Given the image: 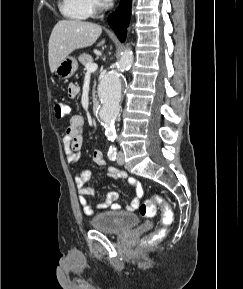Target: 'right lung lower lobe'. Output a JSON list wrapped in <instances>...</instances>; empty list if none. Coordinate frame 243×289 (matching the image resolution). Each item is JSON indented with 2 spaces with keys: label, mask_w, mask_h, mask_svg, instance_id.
Wrapping results in <instances>:
<instances>
[{
  "label": "right lung lower lobe",
  "mask_w": 243,
  "mask_h": 289,
  "mask_svg": "<svg viewBox=\"0 0 243 289\" xmlns=\"http://www.w3.org/2000/svg\"><path fill=\"white\" fill-rule=\"evenodd\" d=\"M131 16V0H123L119 8L108 17L109 25L121 42H124L127 34V26Z\"/></svg>",
  "instance_id": "obj_1"
}]
</instances>
